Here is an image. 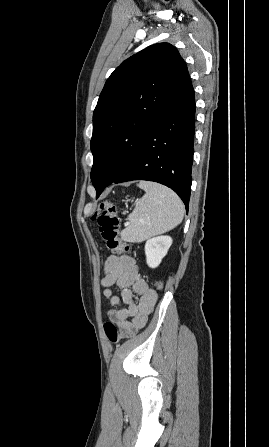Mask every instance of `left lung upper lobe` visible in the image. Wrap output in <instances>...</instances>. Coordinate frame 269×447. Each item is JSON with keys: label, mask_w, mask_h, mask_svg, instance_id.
I'll list each match as a JSON object with an SVG mask.
<instances>
[{"label": "left lung upper lobe", "mask_w": 269, "mask_h": 447, "mask_svg": "<svg viewBox=\"0 0 269 447\" xmlns=\"http://www.w3.org/2000/svg\"><path fill=\"white\" fill-rule=\"evenodd\" d=\"M184 66L175 47L158 43L125 60L107 79L93 114L91 180L96 190L127 167L162 115Z\"/></svg>", "instance_id": "left-lung-upper-lobe-1"}]
</instances>
